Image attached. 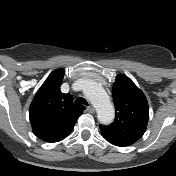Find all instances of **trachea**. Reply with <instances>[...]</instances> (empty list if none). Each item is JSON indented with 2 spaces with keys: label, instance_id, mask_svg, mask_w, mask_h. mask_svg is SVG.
Listing matches in <instances>:
<instances>
[{
  "label": "trachea",
  "instance_id": "3493384b",
  "mask_svg": "<svg viewBox=\"0 0 176 176\" xmlns=\"http://www.w3.org/2000/svg\"><path fill=\"white\" fill-rule=\"evenodd\" d=\"M75 104H78V105L84 104V105H87V106H88V102H87L84 98H81V97H79V98H77V99L75 100ZM81 106H82V105H81Z\"/></svg>",
  "mask_w": 176,
  "mask_h": 176
}]
</instances>
